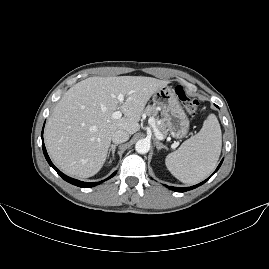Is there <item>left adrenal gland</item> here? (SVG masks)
Returning a JSON list of instances; mask_svg holds the SVG:
<instances>
[{
  "instance_id": "1",
  "label": "left adrenal gland",
  "mask_w": 269,
  "mask_h": 269,
  "mask_svg": "<svg viewBox=\"0 0 269 269\" xmlns=\"http://www.w3.org/2000/svg\"><path fill=\"white\" fill-rule=\"evenodd\" d=\"M155 145H156V148L158 150L162 149V148H165L167 149V147L165 145H163L161 142H159L158 140L155 141Z\"/></svg>"
}]
</instances>
